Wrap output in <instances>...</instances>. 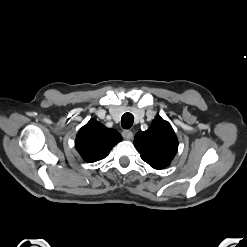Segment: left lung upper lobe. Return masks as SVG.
I'll list each match as a JSON object with an SVG mask.
<instances>
[{"label":"left lung upper lobe","instance_id":"1","mask_svg":"<svg viewBox=\"0 0 247 247\" xmlns=\"http://www.w3.org/2000/svg\"><path fill=\"white\" fill-rule=\"evenodd\" d=\"M134 145L146 163L154 169H163L174 158L178 140L170 124L157 116L146 131L136 134Z\"/></svg>","mask_w":247,"mask_h":247}]
</instances>
